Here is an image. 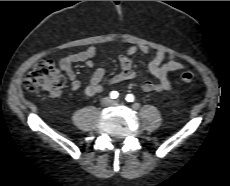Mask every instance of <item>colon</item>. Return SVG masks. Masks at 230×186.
<instances>
[{
    "label": "colon",
    "mask_w": 230,
    "mask_h": 186,
    "mask_svg": "<svg viewBox=\"0 0 230 186\" xmlns=\"http://www.w3.org/2000/svg\"><path fill=\"white\" fill-rule=\"evenodd\" d=\"M182 82H191L195 75L191 71H184L179 74ZM65 78L60 73L55 63L49 59L38 61L25 79V86L31 92L43 91L51 95L60 93L65 85Z\"/></svg>",
    "instance_id": "colon-1"
}]
</instances>
